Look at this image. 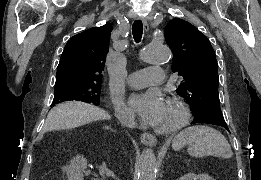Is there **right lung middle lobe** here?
Instances as JSON below:
<instances>
[{
    "label": "right lung middle lobe",
    "mask_w": 261,
    "mask_h": 180,
    "mask_svg": "<svg viewBox=\"0 0 261 180\" xmlns=\"http://www.w3.org/2000/svg\"><path fill=\"white\" fill-rule=\"evenodd\" d=\"M101 91V82H64L55 85V95L52 105L65 101H83L99 104Z\"/></svg>",
    "instance_id": "obj_1"
}]
</instances>
